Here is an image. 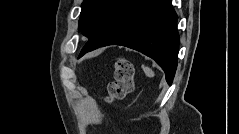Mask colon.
<instances>
[{
    "mask_svg": "<svg viewBox=\"0 0 239 134\" xmlns=\"http://www.w3.org/2000/svg\"><path fill=\"white\" fill-rule=\"evenodd\" d=\"M134 67L127 59H119L114 64V80L108 86L106 100L114 102L124 99L133 90Z\"/></svg>",
    "mask_w": 239,
    "mask_h": 134,
    "instance_id": "1",
    "label": "colon"
}]
</instances>
